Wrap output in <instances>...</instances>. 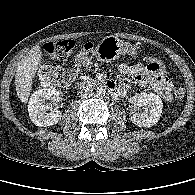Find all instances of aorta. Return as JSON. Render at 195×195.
Wrapping results in <instances>:
<instances>
[{
    "instance_id": "obj_1",
    "label": "aorta",
    "mask_w": 195,
    "mask_h": 195,
    "mask_svg": "<svg viewBox=\"0 0 195 195\" xmlns=\"http://www.w3.org/2000/svg\"><path fill=\"white\" fill-rule=\"evenodd\" d=\"M106 94V89L104 88H97L96 91H95V96L97 98H103Z\"/></svg>"
}]
</instances>
